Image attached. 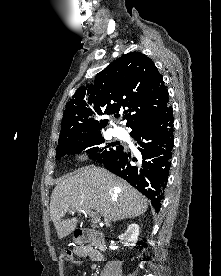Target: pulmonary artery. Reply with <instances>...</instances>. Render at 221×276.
Here are the masks:
<instances>
[{"label":"pulmonary artery","instance_id":"pulmonary-artery-1","mask_svg":"<svg viewBox=\"0 0 221 276\" xmlns=\"http://www.w3.org/2000/svg\"><path fill=\"white\" fill-rule=\"evenodd\" d=\"M113 132L117 137H122L124 134L123 130L119 127H116Z\"/></svg>","mask_w":221,"mask_h":276}]
</instances>
